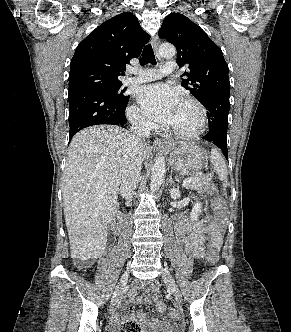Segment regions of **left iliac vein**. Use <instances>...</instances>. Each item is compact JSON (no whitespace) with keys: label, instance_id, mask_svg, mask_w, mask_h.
Listing matches in <instances>:
<instances>
[{"label":"left iliac vein","instance_id":"4c4485c4","mask_svg":"<svg viewBox=\"0 0 291 332\" xmlns=\"http://www.w3.org/2000/svg\"><path fill=\"white\" fill-rule=\"evenodd\" d=\"M162 278H163L164 282L166 283V285L169 289V292L174 296L176 303L178 305H181L182 299L180 297L178 287L175 283L174 278L172 277V275L169 273V271L167 269H163Z\"/></svg>","mask_w":291,"mask_h":332}]
</instances>
